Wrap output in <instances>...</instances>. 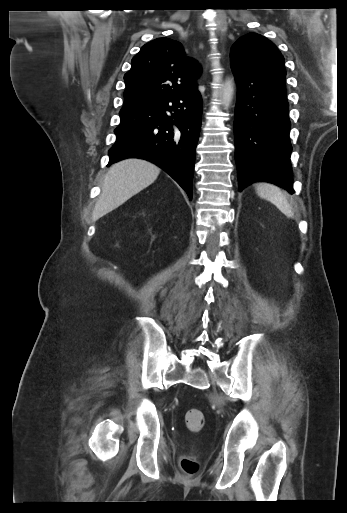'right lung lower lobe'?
<instances>
[{
    "mask_svg": "<svg viewBox=\"0 0 347 513\" xmlns=\"http://www.w3.org/2000/svg\"><path fill=\"white\" fill-rule=\"evenodd\" d=\"M198 90L120 111L109 164L136 157L165 170L192 199L195 149L201 128Z\"/></svg>",
    "mask_w": 347,
    "mask_h": 513,
    "instance_id": "right-lung-lower-lobe-1",
    "label": "right lung lower lobe"
}]
</instances>
